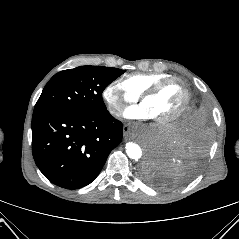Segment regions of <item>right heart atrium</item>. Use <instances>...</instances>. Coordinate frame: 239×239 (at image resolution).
Here are the masks:
<instances>
[{
	"label": "right heart atrium",
	"mask_w": 239,
	"mask_h": 239,
	"mask_svg": "<svg viewBox=\"0 0 239 239\" xmlns=\"http://www.w3.org/2000/svg\"><path fill=\"white\" fill-rule=\"evenodd\" d=\"M109 112L113 116H120L127 104L138 100L139 95L129 90L121 81L110 82L102 92Z\"/></svg>",
	"instance_id": "obj_1"
}]
</instances>
